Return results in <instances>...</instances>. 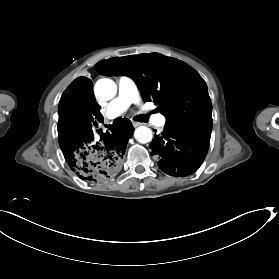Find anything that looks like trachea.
Segmentation results:
<instances>
[{
	"mask_svg": "<svg viewBox=\"0 0 279 279\" xmlns=\"http://www.w3.org/2000/svg\"><path fill=\"white\" fill-rule=\"evenodd\" d=\"M147 120H148V116L147 115H144V114L138 115V121H140V122H147Z\"/></svg>",
	"mask_w": 279,
	"mask_h": 279,
	"instance_id": "obj_1",
	"label": "trachea"
}]
</instances>
